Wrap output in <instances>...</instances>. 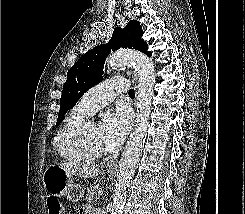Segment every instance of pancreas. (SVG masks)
Returning <instances> with one entry per match:
<instances>
[{
    "mask_svg": "<svg viewBox=\"0 0 245 214\" xmlns=\"http://www.w3.org/2000/svg\"><path fill=\"white\" fill-rule=\"evenodd\" d=\"M97 191H98V185L95 184L91 185L87 189V195H86L87 201L89 202L93 201L97 197Z\"/></svg>",
    "mask_w": 245,
    "mask_h": 214,
    "instance_id": "1",
    "label": "pancreas"
}]
</instances>
